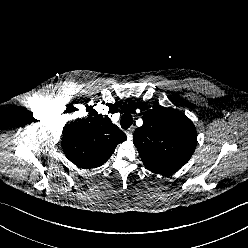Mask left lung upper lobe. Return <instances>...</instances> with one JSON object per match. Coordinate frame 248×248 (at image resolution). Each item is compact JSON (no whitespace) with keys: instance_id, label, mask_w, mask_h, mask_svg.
Masks as SVG:
<instances>
[{"instance_id":"5c2ea615","label":"left lung upper lobe","mask_w":248,"mask_h":248,"mask_svg":"<svg viewBox=\"0 0 248 248\" xmlns=\"http://www.w3.org/2000/svg\"><path fill=\"white\" fill-rule=\"evenodd\" d=\"M133 143L148 170L167 176L190 159L197 133L182 112L157 105L143 114V125L135 130Z\"/></svg>"}]
</instances>
